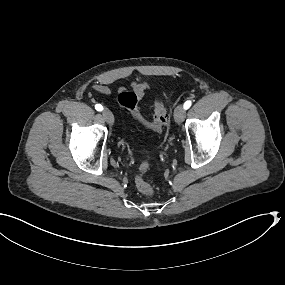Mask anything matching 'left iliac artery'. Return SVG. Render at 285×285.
Listing matches in <instances>:
<instances>
[{
    "mask_svg": "<svg viewBox=\"0 0 285 285\" xmlns=\"http://www.w3.org/2000/svg\"><path fill=\"white\" fill-rule=\"evenodd\" d=\"M190 106H191V101H186V102L184 103V109H185V110H187L188 108H190Z\"/></svg>",
    "mask_w": 285,
    "mask_h": 285,
    "instance_id": "1",
    "label": "left iliac artery"
}]
</instances>
